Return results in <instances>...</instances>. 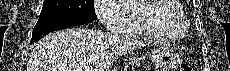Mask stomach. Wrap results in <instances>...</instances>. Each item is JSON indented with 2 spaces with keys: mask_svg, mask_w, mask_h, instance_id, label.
<instances>
[{
  "mask_svg": "<svg viewBox=\"0 0 230 71\" xmlns=\"http://www.w3.org/2000/svg\"><path fill=\"white\" fill-rule=\"evenodd\" d=\"M152 62L162 71H170L177 67L179 55L172 49L160 48L151 53Z\"/></svg>",
  "mask_w": 230,
  "mask_h": 71,
  "instance_id": "stomach-1",
  "label": "stomach"
}]
</instances>
